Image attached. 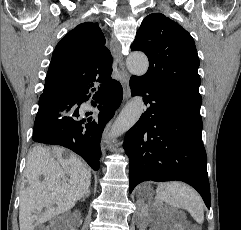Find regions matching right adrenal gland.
<instances>
[{
    "label": "right adrenal gland",
    "mask_w": 241,
    "mask_h": 230,
    "mask_svg": "<svg viewBox=\"0 0 241 230\" xmlns=\"http://www.w3.org/2000/svg\"><path fill=\"white\" fill-rule=\"evenodd\" d=\"M89 195H90V189H88L86 195L83 197V200H84L85 197H88Z\"/></svg>",
    "instance_id": "obj_1"
}]
</instances>
